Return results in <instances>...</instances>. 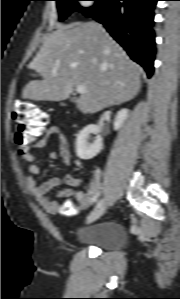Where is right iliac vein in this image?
Segmentation results:
<instances>
[{"label":"right iliac vein","mask_w":180,"mask_h":299,"mask_svg":"<svg viewBox=\"0 0 180 299\" xmlns=\"http://www.w3.org/2000/svg\"><path fill=\"white\" fill-rule=\"evenodd\" d=\"M106 211L105 205H101L100 207L93 210L89 216L87 217V223H92L98 220Z\"/></svg>","instance_id":"63e3f726"}]
</instances>
